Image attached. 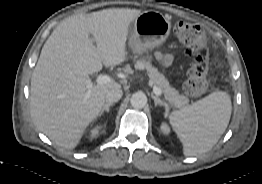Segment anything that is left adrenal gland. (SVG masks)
<instances>
[{
    "label": "left adrenal gland",
    "instance_id": "left-adrenal-gland-1",
    "mask_svg": "<svg viewBox=\"0 0 262 184\" xmlns=\"http://www.w3.org/2000/svg\"><path fill=\"white\" fill-rule=\"evenodd\" d=\"M152 99L154 100V103H155V107L157 106H164L165 109L168 108V104L164 101H162L159 97L155 96V95H151Z\"/></svg>",
    "mask_w": 262,
    "mask_h": 184
}]
</instances>
